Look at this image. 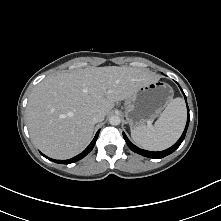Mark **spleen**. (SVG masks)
<instances>
[{
  "label": "spleen",
  "instance_id": "obj_1",
  "mask_svg": "<svg viewBox=\"0 0 221 221\" xmlns=\"http://www.w3.org/2000/svg\"><path fill=\"white\" fill-rule=\"evenodd\" d=\"M186 106L181 98L172 99L154 125L131 130V137L141 148L151 151L164 150L173 145L183 132Z\"/></svg>",
  "mask_w": 221,
  "mask_h": 221
}]
</instances>
